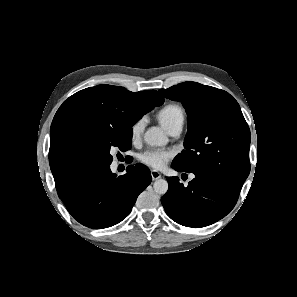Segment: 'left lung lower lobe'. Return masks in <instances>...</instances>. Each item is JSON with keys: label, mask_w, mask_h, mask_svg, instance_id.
<instances>
[{"label": "left lung lower lobe", "mask_w": 297, "mask_h": 297, "mask_svg": "<svg viewBox=\"0 0 297 297\" xmlns=\"http://www.w3.org/2000/svg\"><path fill=\"white\" fill-rule=\"evenodd\" d=\"M178 172H185L172 164ZM184 186L178 177H168L169 189L161 198L167 215L183 226L194 228L211 225L226 216L235 206L240 190L226 182L194 173Z\"/></svg>", "instance_id": "0a47b994"}]
</instances>
